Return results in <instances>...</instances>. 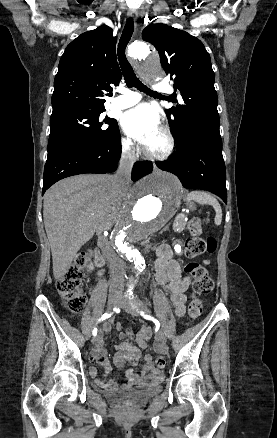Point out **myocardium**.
Wrapping results in <instances>:
<instances>
[{
	"label": "myocardium",
	"instance_id": "1",
	"mask_svg": "<svg viewBox=\"0 0 277 438\" xmlns=\"http://www.w3.org/2000/svg\"><path fill=\"white\" fill-rule=\"evenodd\" d=\"M128 50V47L127 49ZM160 133L164 136L165 141H166V147L165 150L160 153V154H151L146 152V155L151 159V160H156V161H164L166 159H168L175 148V139L171 133V131L168 128L162 127L160 129Z\"/></svg>",
	"mask_w": 277,
	"mask_h": 438
}]
</instances>
